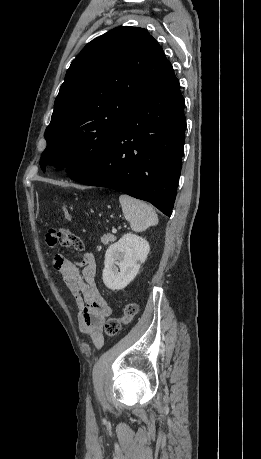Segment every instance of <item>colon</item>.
<instances>
[{
  "instance_id": "1",
  "label": "colon",
  "mask_w": 261,
  "mask_h": 459,
  "mask_svg": "<svg viewBox=\"0 0 261 459\" xmlns=\"http://www.w3.org/2000/svg\"><path fill=\"white\" fill-rule=\"evenodd\" d=\"M62 216L65 220L70 219V213L65 206L61 208ZM138 311V306L136 303H128L123 309V314L120 317L109 318L104 324V331L108 337L116 336L121 327L125 324H128L132 321Z\"/></svg>"
}]
</instances>
